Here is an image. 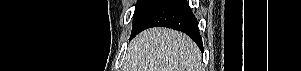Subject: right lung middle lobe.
Segmentation results:
<instances>
[{"label":"right lung middle lobe","instance_id":"1","mask_svg":"<svg viewBox=\"0 0 301 71\" xmlns=\"http://www.w3.org/2000/svg\"><path fill=\"white\" fill-rule=\"evenodd\" d=\"M159 0H138L135 8V12L133 15V28L132 33L137 29L145 15L149 12L151 8H153ZM131 33V34H132Z\"/></svg>","mask_w":301,"mask_h":71}]
</instances>
